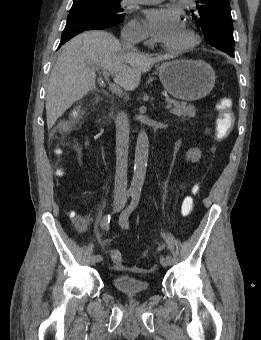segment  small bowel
I'll return each mask as SVG.
<instances>
[{
    "label": "small bowel",
    "mask_w": 261,
    "mask_h": 340,
    "mask_svg": "<svg viewBox=\"0 0 261 340\" xmlns=\"http://www.w3.org/2000/svg\"><path fill=\"white\" fill-rule=\"evenodd\" d=\"M89 222L90 218L88 215H79L75 217V226L79 232H84L87 229Z\"/></svg>",
    "instance_id": "c3829d8e"
}]
</instances>
